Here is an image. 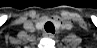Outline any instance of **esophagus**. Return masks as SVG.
Masks as SVG:
<instances>
[{"instance_id": "obj_1", "label": "esophagus", "mask_w": 97, "mask_h": 48, "mask_svg": "<svg viewBox=\"0 0 97 48\" xmlns=\"http://www.w3.org/2000/svg\"><path fill=\"white\" fill-rule=\"evenodd\" d=\"M43 36L47 37V38H53L54 37V35L52 33H44Z\"/></svg>"}]
</instances>
